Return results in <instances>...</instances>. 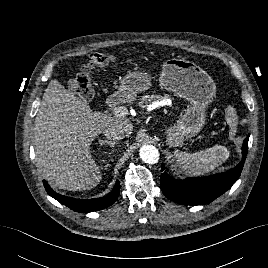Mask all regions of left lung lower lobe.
<instances>
[{"label": "left lung lower lobe", "mask_w": 268, "mask_h": 268, "mask_svg": "<svg viewBox=\"0 0 268 268\" xmlns=\"http://www.w3.org/2000/svg\"><path fill=\"white\" fill-rule=\"evenodd\" d=\"M249 136L243 142L242 160L233 169L207 177L174 179L166 172L161 174V189L164 195L183 205L208 204L225 193L237 181L244 166L248 151ZM165 167L162 164V170Z\"/></svg>", "instance_id": "left-lung-lower-lobe-1"}]
</instances>
